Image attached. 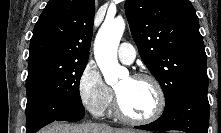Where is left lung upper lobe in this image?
<instances>
[{"label": "left lung upper lobe", "instance_id": "1", "mask_svg": "<svg viewBox=\"0 0 221 133\" xmlns=\"http://www.w3.org/2000/svg\"><path fill=\"white\" fill-rule=\"evenodd\" d=\"M126 15L140 56L169 107L185 91L207 88L206 53L189 0H127Z\"/></svg>", "mask_w": 221, "mask_h": 133}]
</instances>
